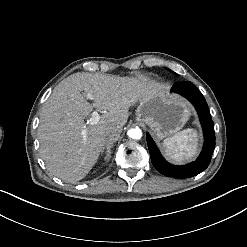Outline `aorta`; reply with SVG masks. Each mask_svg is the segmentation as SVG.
Listing matches in <instances>:
<instances>
[{
	"mask_svg": "<svg viewBox=\"0 0 247 247\" xmlns=\"http://www.w3.org/2000/svg\"><path fill=\"white\" fill-rule=\"evenodd\" d=\"M127 135L132 139H140L142 137V131L140 128H131L128 130Z\"/></svg>",
	"mask_w": 247,
	"mask_h": 247,
	"instance_id": "1",
	"label": "aorta"
}]
</instances>
